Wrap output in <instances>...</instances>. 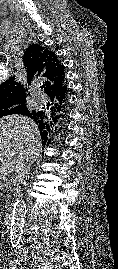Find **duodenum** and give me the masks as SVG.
Returning <instances> with one entry per match:
<instances>
[{"instance_id":"410a0bca","label":"duodenum","mask_w":118,"mask_h":269,"mask_svg":"<svg viewBox=\"0 0 118 269\" xmlns=\"http://www.w3.org/2000/svg\"><path fill=\"white\" fill-rule=\"evenodd\" d=\"M2 224L5 229H9L12 224V217L10 214H6L2 219Z\"/></svg>"}]
</instances>
